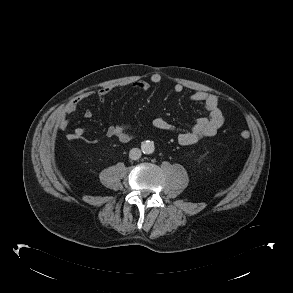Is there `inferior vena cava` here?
<instances>
[{"label": "inferior vena cava", "instance_id": "602c4592", "mask_svg": "<svg viewBox=\"0 0 293 293\" xmlns=\"http://www.w3.org/2000/svg\"><path fill=\"white\" fill-rule=\"evenodd\" d=\"M141 157V150L139 148H132L129 152V158L138 160Z\"/></svg>", "mask_w": 293, "mask_h": 293}]
</instances>
